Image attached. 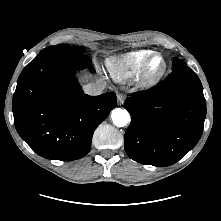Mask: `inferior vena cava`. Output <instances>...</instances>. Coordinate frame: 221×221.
I'll use <instances>...</instances> for the list:
<instances>
[{
	"label": "inferior vena cava",
	"instance_id": "602c4592",
	"mask_svg": "<svg viewBox=\"0 0 221 221\" xmlns=\"http://www.w3.org/2000/svg\"><path fill=\"white\" fill-rule=\"evenodd\" d=\"M105 87H106V82L104 81L90 83L84 87V91L88 95L97 96L103 93Z\"/></svg>",
	"mask_w": 221,
	"mask_h": 221
}]
</instances>
